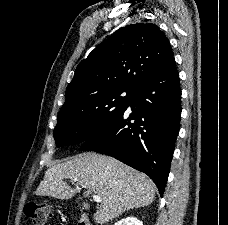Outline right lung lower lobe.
Returning <instances> with one entry per match:
<instances>
[{"mask_svg":"<svg viewBox=\"0 0 228 225\" xmlns=\"http://www.w3.org/2000/svg\"><path fill=\"white\" fill-rule=\"evenodd\" d=\"M181 88L174 57L139 84L122 110L81 151L107 153L146 173L163 195L180 128Z\"/></svg>","mask_w":228,"mask_h":225,"instance_id":"obj_1","label":"right lung lower lobe"}]
</instances>
